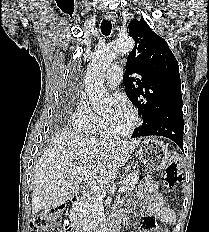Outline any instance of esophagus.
I'll list each match as a JSON object with an SVG mask.
<instances>
[{
	"label": "esophagus",
	"instance_id": "obj_1",
	"mask_svg": "<svg viewBox=\"0 0 209 232\" xmlns=\"http://www.w3.org/2000/svg\"><path fill=\"white\" fill-rule=\"evenodd\" d=\"M104 18L107 19V20H112V21H115V16L112 12L110 11H106L104 12L103 14Z\"/></svg>",
	"mask_w": 209,
	"mask_h": 232
}]
</instances>
